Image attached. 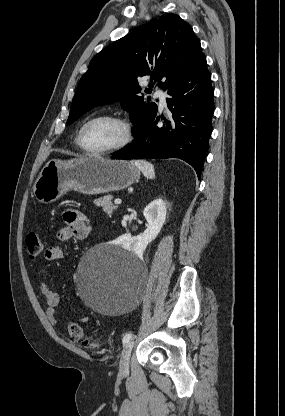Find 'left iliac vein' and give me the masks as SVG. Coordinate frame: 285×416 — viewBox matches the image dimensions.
<instances>
[{"label":"left iliac vein","instance_id":"left-iliac-vein-1","mask_svg":"<svg viewBox=\"0 0 285 416\" xmlns=\"http://www.w3.org/2000/svg\"><path fill=\"white\" fill-rule=\"evenodd\" d=\"M133 342H128L121 354V359H120V370L119 373L122 375L128 374L129 373V362H130V357H131V353H132V349H133Z\"/></svg>","mask_w":285,"mask_h":416}]
</instances>
